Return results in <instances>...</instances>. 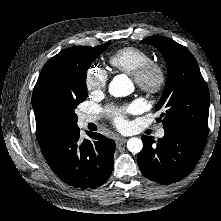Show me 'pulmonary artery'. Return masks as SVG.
I'll return each instance as SVG.
<instances>
[{
	"label": "pulmonary artery",
	"mask_w": 221,
	"mask_h": 221,
	"mask_svg": "<svg viewBox=\"0 0 221 221\" xmlns=\"http://www.w3.org/2000/svg\"><path fill=\"white\" fill-rule=\"evenodd\" d=\"M98 118L95 116H89V115H83L80 117V124L81 125H87L90 122L96 121ZM165 136L164 129H159L156 132V137L157 138H163Z\"/></svg>",
	"instance_id": "pulmonary-artery-1"
}]
</instances>
